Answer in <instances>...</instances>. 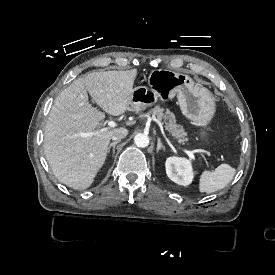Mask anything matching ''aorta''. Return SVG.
Here are the masks:
<instances>
[{
	"instance_id": "762f6f07",
	"label": "aorta",
	"mask_w": 275,
	"mask_h": 275,
	"mask_svg": "<svg viewBox=\"0 0 275 275\" xmlns=\"http://www.w3.org/2000/svg\"><path fill=\"white\" fill-rule=\"evenodd\" d=\"M134 143L137 147L145 148L150 144V139L147 134L139 133L134 137Z\"/></svg>"
}]
</instances>
